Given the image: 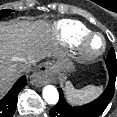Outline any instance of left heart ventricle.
Here are the masks:
<instances>
[{"label": "left heart ventricle", "instance_id": "left-heart-ventricle-1", "mask_svg": "<svg viewBox=\"0 0 117 117\" xmlns=\"http://www.w3.org/2000/svg\"><path fill=\"white\" fill-rule=\"evenodd\" d=\"M100 46H101V39L98 37L92 39V41L89 44V48L91 50H97L100 48Z\"/></svg>", "mask_w": 117, "mask_h": 117}]
</instances>
